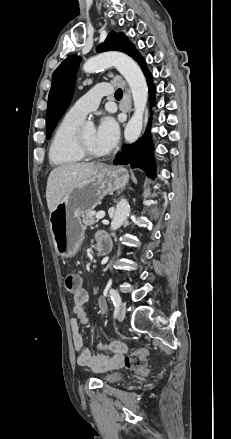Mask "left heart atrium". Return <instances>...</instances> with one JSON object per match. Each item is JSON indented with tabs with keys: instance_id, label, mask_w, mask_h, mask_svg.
<instances>
[{
	"instance_id": "left-heart-atrium-1",
	"label": "left heart atrium",
	"mask_w": 231,
	"mask_h": 439,
	"mask_svg": "<svg viewBox=\"0 0 231 439\" xmlns=\"http://www.w3.org/2000/svg\"><path fill=\"white\" fill-rule=\"evenodd\" d=\"M119 127L114 118L104 116L95 131V141L103 153H108L117 144Z\"/></svg>"
}]
</instances>
